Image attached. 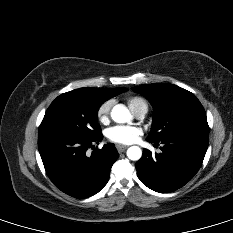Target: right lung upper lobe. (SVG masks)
Listing matches in <instances>:
<instances>
[{
  "label": "right lung upper lobe",
  "mask_w": 233,
  "mask_h": 233,
  "mask_svg": "<svg viewBox=\"0 0 233 233\" xmlns=\"http://www.w3.org/2000/svg\"><path fill=\"white\" fill-rule=\"evenodd\" d=\"M76 91L81 92L93 99H97L105 102L106 100L127 91V88H80L76 89Z\"/></svg>",
  "instance_id": "1"
}]
</instances>
